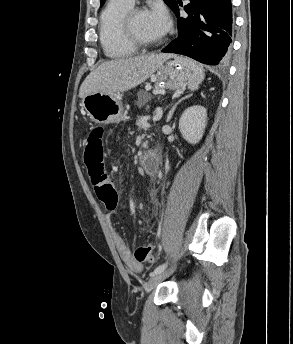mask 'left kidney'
Masks as SVG:
<instances>
[{"label":"left kidney","mask_w":293,"mask_h":344,"mask_svg":"<svg viewBox=\"0 0 293 344\" xmlns=\"http://www.w3.org/2000/svg\"><path fill=\"white\" fill-rule=\"evenodd\" d=\"M206 122V108L200 105L191 106L182 113L179 120V130L188 143L196 144L204 134Z\"/></svg>","instance_id":"obj_1"}]
</instances>
